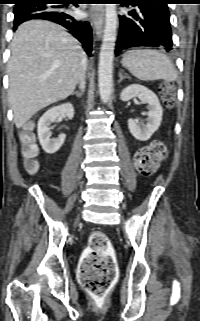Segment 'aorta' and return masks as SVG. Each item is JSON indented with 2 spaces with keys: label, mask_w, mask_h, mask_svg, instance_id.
<instances>
[{
  "label": "aorta",
  "mask_w": 200,
  "mask_h": 321,
  "mask_svg": "<svg viewBox=\"0 0 200 321\" xmlns=\"http://www.w3.org/2000/svg\"><path fill=\"white\" fill-rule=\"evenodd\" d=\"M118 27L116 4H106L105 29L99 54L98 86L99 94L106 103L112 93V73L115 41Z\"/></svg>",
  "instance_id": "1"
}]
</instances>
